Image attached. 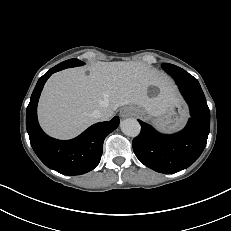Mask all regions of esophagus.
Masks as SVG:
<instances>
[{
    "instance_id": "esophagus-1",
    "label": "esophagus",
    "mask_w": 231,
    "mask_h": 231,
    "mask_svg": "<svg viewBox=\"0 0 231 231\" xmlns=\"http://www.w3.org/2000/svg\"><path fill=\"white\" fill-rule=\"evenodd\" d=\"M132 114H133V110L130 107L125 106V107H123V108L120 109V115L123 118L129 117Z\"/></svg>"
}]
</instances>
